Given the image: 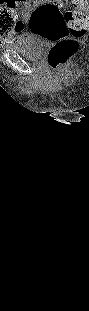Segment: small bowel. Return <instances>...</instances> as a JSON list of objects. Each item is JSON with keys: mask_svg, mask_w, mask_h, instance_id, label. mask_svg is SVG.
<instances>
[{"mask_svg": "<svg viewBox=\"0 0 89 311\" xmlns=\"http://www.w3.org/2000/svg\"><path fill=\"white\" fill-rule=\"evenodd\" d=\"M20 29H21V26H17L12 32H4V34H2V37L4 39H8L10 37H13L16 34H19L18 37L14 38V40L15 39H22L24 37V35L22 34ZM14 40H12V41H14Z\"/></svg>", "mask_w": 89, "mask_h": 311, "instance_id": "c3829d8e", "label": "small bowel"}]
</instances>
